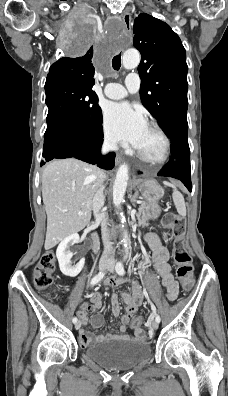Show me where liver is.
<instances>
[{"label": "liver", "mask_w": 228, "mask_h": 396, "mask_svg": "<svg viewBox=\"0 0 228 396\" xmlns=\"http://www.w3.org/2000/svg\"><path fill=\"white\" fill-rule=\"evenodd\" d=\"M104 177L98 167L71 158L45 166L42 197L47 214L46 250L88 225L93 197ZM79 211L83 215H78Z\"/></svg>", "instance_id": "liver-1"}]
</instances>
